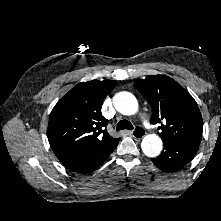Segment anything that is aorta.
Wrapping results in <instances>:
<instances>
[{"mask_svg":"<svg viewBox=\"0 0 221 221\" xmlns=\"http://www.w3.org/2000/svg\"><path fill=\"white\" fill-rule=\"evenodd\" d=\"M113 104L118 112L123 115H133L138 111V101L135 96L129 92H119L113 98ZM141 148L147 157H157L163 148L161 138L156 134L146 135Z\"/></svg>","mask_w":221,"mask_h":221,"instance_id":"obj_1","label":"aorta"}]
</instances>
